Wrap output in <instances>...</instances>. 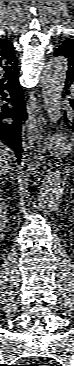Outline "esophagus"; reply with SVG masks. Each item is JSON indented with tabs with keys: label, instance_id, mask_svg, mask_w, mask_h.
Wrapping results in <instances>:
<instances>
[{
	"label": "esophagus",
	"instance_id": "obj_1",
	"mask_svg": "<svg viewBox=\"0 0 74 366\" xmlns=\"http://www.w3.org/2000/svg\"><path fill=\"white\" fill-rule=\"evenodd\" d=\"M27 112L30 121L35 124L39 120L38 115L42 112V106L40 104H29L27 106Z\"/></svg>",
	"mask_w": 74,
	"mask_h": 366
}]
</instances>
